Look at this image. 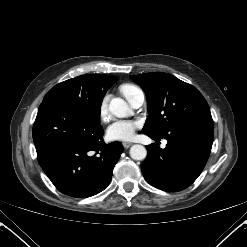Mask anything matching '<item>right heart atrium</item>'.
<instances>
[{
    "label": "right heart atrium",
    "mask_w": 247,
    "mask_h": 247,
    "mask_svg": "<svg viewBox=\"0 0 247 247\" xmlns=\"http://www.w3.org/2000/svg\"><path fill=\"white\" fill-rule=\"evenodd\" d=\"M99 116L102 121H107L109 118V112H108V96H105L99 107Z\"/></svg>",
    "instance_id": "right-heart-atrium-1"
}]
</instances>
